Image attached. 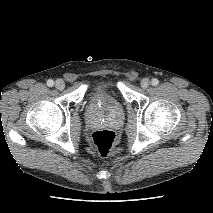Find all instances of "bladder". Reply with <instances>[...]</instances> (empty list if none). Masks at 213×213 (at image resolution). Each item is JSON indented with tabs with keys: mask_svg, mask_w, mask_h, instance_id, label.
I'll return each instance as SVG.
<instances>
[{
	"mask_svg": "<svg viewBox=\"0 0 213 213\" xmlns=\"http://www.w3.org/2000/svg\"><path fill=\"white\" fill-rule=\"evenodd\" d=\"M109 85L107 84V85H104L103 87H108Z\"/></svg>",
	"mask_w": 213,
	"mask_h": 213,
	"instance_id": "bladder-1",
	"label": "bladder"
}]
</instances>
